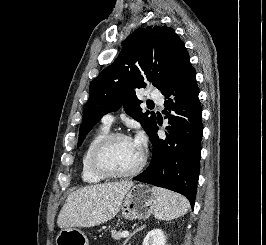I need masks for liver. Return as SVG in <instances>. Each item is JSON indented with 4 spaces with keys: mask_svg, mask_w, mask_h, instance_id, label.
Returning <instances> with one entry per match:
<instances>
[{
    "mask_svg": "<svg viewBox=\"0 0 266 245\" xmlns=\"http://www.w3.org/2000/svg\"><path fill=\"white\" fill-rule=\"evenodd\" d=\"M133 185L132 181H120L77 189L67 197L58 227H96L110 221L119 213L121 201Z\"/></svg>",
    "mask_w": 266,
    "mask_h": 245,
    "instance_id": "obj_1",
    "label": "liver"
}]
</instances>
